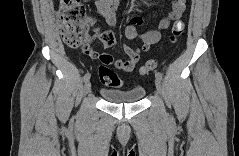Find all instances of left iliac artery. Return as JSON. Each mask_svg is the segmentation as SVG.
Here are the masks:
<instances>
[{
	"label": "left iliac artery",
	"mask_w": 239,
	"mask_h": 156,
	"mask_svg": "<svg viewBox=\"0 0 239 156\" xmlns=\"http://www.w3.org/2000/svg\"><path fill=\"white\" fill-rule=\"evenodd\" d=\"M155 77L159 80H162V74L160 72H155Z\"/></svg>",
	"instance_id": "1"
}]
</instances>
